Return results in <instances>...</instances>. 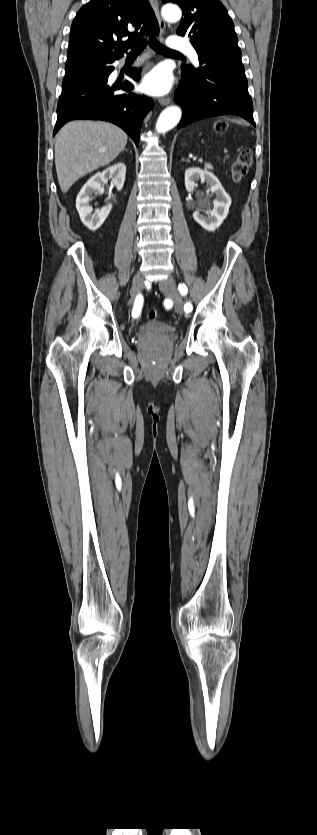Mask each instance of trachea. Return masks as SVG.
<instances>
[{
  "mask_svg": "<svg viewBox=\"0 0 317 835\" xmlns=\"http://www.w3.org/2000/svg\"><path fill=\"white\" fill-rule=\"evenodd\" d=\"M146 45H147V40L146 39H140L139 41H137L132 46L131 52L129 53V56H138L142 52L143 48ZM149 45L157 53H160V54H163V55H179L180 54L179 52L170 50L167 47L163 46L154 36H151L149 38Z\"/></svg>",
  "mask_w": 317,
  "mask_h": 835,
  "instance_id": "obj_1",
  "label": "trachea"
}]
</instances>
